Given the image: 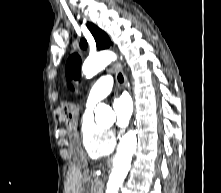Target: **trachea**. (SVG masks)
<instances>
[{
  "label": "trachea",
  "instance_id": "1",
  "mask_svg": "<svg viewBox=\"0 0 221 193\" xmlns=\"http://www.w3.org/2000/svg\"><path fill=\"white\" fill-rule=\"evenodd\" d=\"M118 81L122 83L124 81L123 75L121 73L118 74Z\"/></svg>",
  "mask_w": 221,
  "mask_h": 193
}]
</instances>
